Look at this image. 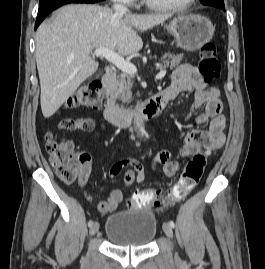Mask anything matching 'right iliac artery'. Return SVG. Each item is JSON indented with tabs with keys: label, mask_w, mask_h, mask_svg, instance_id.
I'll return each instance as SVG.
<instances>
[{
	"label": "right iliac artery",
	"mask_w": 265,
	"mask_h": 269,
	"mask_svg": "<svg viewBox=\"0 0 265 269\" xmlns=\"http://www.w3.org/2000/svg\"><path fill=\"white\" fill-rule=\"evenodd\" d=\"M92 224H93V221H92V220H90V221L88 222V226H89V227H91V226H92Z\"/></svg>",
	"instance_id": "right-iliac-artery-1"
}]
</instances>
